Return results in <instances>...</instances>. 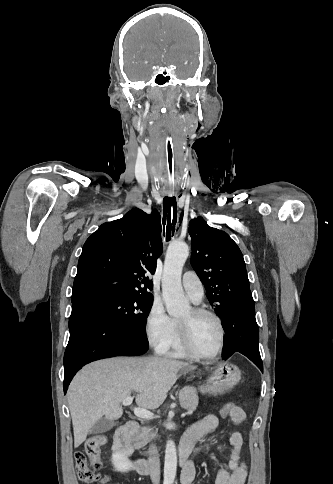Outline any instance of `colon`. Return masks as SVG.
I'll list each match as a JSON object with an SVG mask.
<instances>
[{"label":"colon","mask_w":333,"mask_h":484,"mask_svg":"<svg viewBox=\"0 0 333 484\" xmlns=\"http://www.w3.org/2000/svg\"><path fill=\"white\" fill-rule=\"evenodd\" d=\"M237 407L234 403H227L221 408V415H229ZM107 439L103 435L89 438L84 445V451L75 453L76 470L79 479L85 483L104 484L106 476L100 472L99 461L101 448L106 444Z\"/></svg>","instance_id":"colon-1"}]
</instances>
